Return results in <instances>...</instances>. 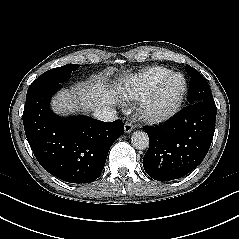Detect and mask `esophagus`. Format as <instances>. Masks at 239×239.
<instances>
[{
  "label": "esophagus",
  "instance_id": "esophagus-1",
  "mask_svg": "<svg viewBox=\"0 0 239 239\" xmlns=\"http://www.w3.org/2000/svg\"><path fill=\"white\" fill-rule=\"evenodd\" d=\"M133 125L130 122H126L124 125V132L125 133H130L133 130Z\"/></svg>",
  "mask_w": 239,
  "mask_h": 239
}]
</instances>
